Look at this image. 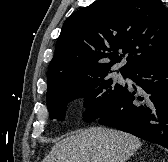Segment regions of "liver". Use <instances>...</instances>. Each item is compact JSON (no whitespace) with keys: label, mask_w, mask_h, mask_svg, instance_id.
Wrapping results in <instances>:
<instances>
[{"label":"liver","mask_w":168,"mask_h":162,"mask_svg":"<svg viewBox=\"0 0 168 162\" xmlns=\"http://www.w3.org/2000/svg\"><path fill=\"white\" fill-rule=\"evenodd\" d=\"M141 145L131 134L91 127L56 143L42 162H125Z\"/></svg>","instance_id":"liver-1"}]
</instances>
